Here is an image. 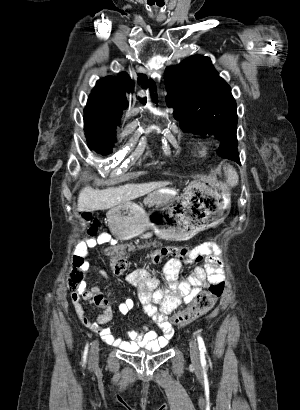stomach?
Instances as JSON below:
<instances>
[{
    "mask_svg": "<svg viewBox=\"0 0 300 410\" xmlns=\"http://www.w3.org/2000/svg\"><path fill=\"white\" fill-rule=\"evenodd\" d=\"M159 193H150L145 200L154 206ZM155 206L149 213L131 201L110 208L106 217L112 235L128 240L151 229L161 239L185 241L221 223L231 200L225 186L194 181L175 201Z\"/></svg>",
    "mask_w": 300,
    "mask_h": 410,
    "instance_id": "obj_1",
    "label": "stomach"
}]
</instances>
